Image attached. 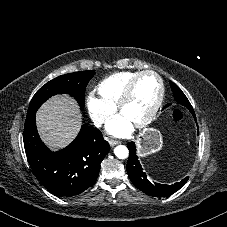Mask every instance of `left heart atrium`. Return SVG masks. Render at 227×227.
I'll return each instance as SVG.
<instances>
[{
	"mask_svg": "<svg viewBox=\"0 0 227 227\" xmlns=\"http://www.w3.org/2000/svg\"><path fill=\"white\" fill-rule=\"evenodd\" d=\"M106 131L113 136H125L132 131V124L120 116L107 123Z\"/></svg>",
	"mask_w": 227,
	"mask_h": 227,
	"instance_id": "1",
	"label": "left heart atrium"
}]
</instances>
